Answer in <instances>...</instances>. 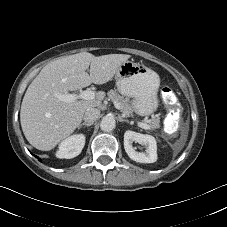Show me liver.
I'll return each mask as SVG.
<instances>
[{
    "label": "liver",
    "mask_w": 227,
    "mask_h": 227,
    "mask_svg": "<svg viewBox=\"0 0 227 227\" xmlns=\"http://www.w3.org/2000/svg\"><path fill=\"white\" fill-rule=\"evenodd\" d=\"M129 58L126 54L94 56L81 52L47 64L28 86L21 104L20 122L27 141L38 150L49 151L72 134L86 110L101 105L105 93L97 92L94 100L70 103L59 100L56 94L91 83L105 84Z\"/></svg>",
    "instance_id": "obj_1"
}]
</instances>
